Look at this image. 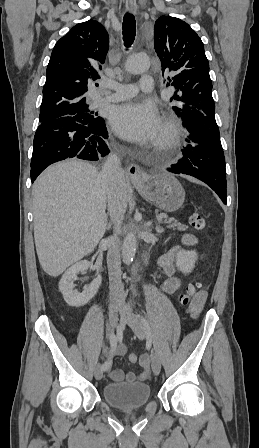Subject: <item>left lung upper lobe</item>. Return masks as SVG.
<instances>
[{
	"mask_svg": "<svg viewBox=\"0 0 259 448\" xmlns=\"http://www.w3.org/2000/svg\"><path fill=\"white\" fill-rule=\"evenodd\" d=\"M154 48L161 61L162 73H174L168 77L166 86L176 89L170 101L179 103L172 107L177 116L181 117L187 110L214 115L209 63L204 45L195 31L178 18L160 16L154 25Z\"/></svg>",
	"mask_w": 259,
	"mask_h": 448,
	"instance_id": "5c2ea615",
	"label": "left lung upper lobe"
}]
</instances>
